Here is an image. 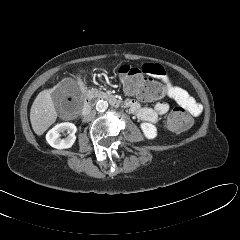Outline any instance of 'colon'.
Masks as SVG:
<instances>
[{
    "mask_svg": "<svg viewBox=\"0 0 240 240\" xmlns=\"http://www.w3.org/2000/svg\"><path fill=\"white\" fill-rule=\"evenodd\" d=\"M118 72L125 91L143 101L160 100L167 96L166 86L151 76H147L139 68L122 65ZM192 123L193 120L187 111L182 107H177L169 113L166 127L170 131L181 132L188 129Z\"/></svg>",
    "mask_w": 240,
    "mask_h": 240,
    "instance_id": "obj_1",
    "label": "colon"
}]
</instances>
